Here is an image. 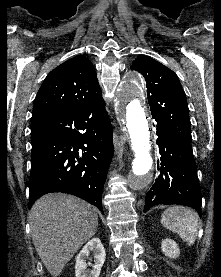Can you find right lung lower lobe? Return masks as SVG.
<instances>
[{
  "mask_svg": "<svg viewBox=\"0 0 221 277\" xmlns=\"http://www.w3.org/2000/svg\"><path fill=\"white\" fill-rule=\"evenodd\" d=\"M104 100L73 111L35 114L31 120L29 208L42 195L64 192L95 205L113 156Z\"/></svg>",
  "mask_w": 221,
  "mask_h": 277,
  "instance_id": "1",
  "label": "right lung lower lobe"
}]
</instances>
